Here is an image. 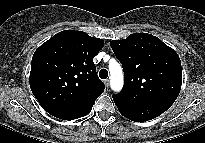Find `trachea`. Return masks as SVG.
<instances>
[{"label":"trachea","mask_w":205,"mask_h":143,"mask_svg":"<svg viewBox=\"0 0 205 143\" xmlns=\"http://www.w3.org/2000/svg\"><path fill=\"white\" fill-rule=\"evenodd\" d=\"M99 77L101 79H106L108 77V71L106 69H102L99 72Z\"/></svg>","instance_id":"3493384b"}]
</instances>
